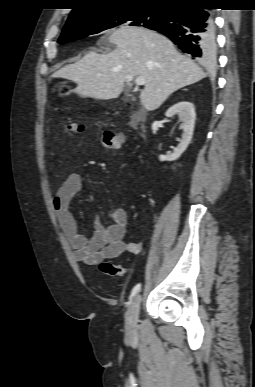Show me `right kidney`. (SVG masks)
Here are the masks:
<instances>
[{
    "label": "right kidney",
    "instance_id": "right-kidney-1",
    "mask_svg": "<svg viewBox=\"0 0 255 387\" xmlns=\"http://www.w3.org/2000/svg\"><path fill=\"white\" fill-rule=\"evenodd\" d=\"M165 115L166 117L178 115L179 120L182 122L183 134L179 145L174 148L172 153L159 156L160 161H174L182 155L192 139L196 118L195 108L192 103L181 101L170 107Z\"/></svg>",
    "mask_w": 255,
    "mask_h": 387
}]
</instances>
